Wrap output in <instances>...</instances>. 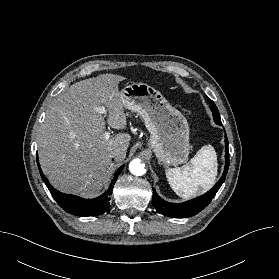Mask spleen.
Returning <instances> with one entry per match:
<instances>
[{
  "instance_id": "1",
  "label": "spleen",
  "mask_w": 279,
  "mask_h": 279,
  "mask_svg": "<svg viewBox=\"0 0 279 279\" xmlns=\"http://www.w3.org/2000/svg\"><path fill=\"white\" fill-rule=\"evenodd\" d=\"M166 177L174 192L184 198L208 190L217 176V156L211 145L203 146L184 166L166 169Z\"/></svg>"
}]
</instances>
